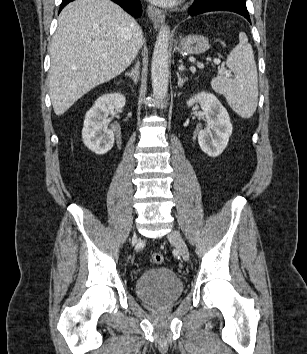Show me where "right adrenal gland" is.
Segmentation results:
<instances>
[{
    "mask_svg": "<svg viewBox=\"0 0 307 354\" xmlns=\"http://www.w3.org/2000/svg\"><path fill=\"white\" fill-rule=\"evenodd\" d=\"M126 76L130 77L135 84H137L140 75V63L136 62L134 68L130 72L125 73Z\"/></svg>",
    "mask_w": 307,
    "mask_h": 354,
    "instance_id": "right-adrenal-gland-1",
    "label": "right adrenal gland"
}]
</instances>
